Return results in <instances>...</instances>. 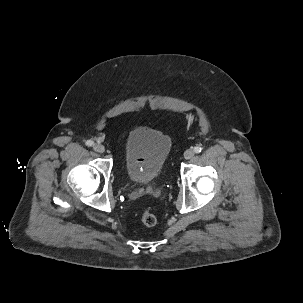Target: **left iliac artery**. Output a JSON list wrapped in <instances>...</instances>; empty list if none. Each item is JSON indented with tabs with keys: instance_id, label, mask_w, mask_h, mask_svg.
<instances>
[{
	"instance_id": "left-iliac-artery-1",
	"label": "left iliac artery",
	"mask_w": 303,
	"mask_h": 303,
	"mask_svg": "<svg viewBox=\"0 0 303 303\" xmlns=\"http://www.w3.org/2000/svg\"><path fill=\"white\" fill-rule=\"evenodd\" d=\"M201 151H202V148L199 147V146H196V147L194 148V152H195V153H200Z\"/></svg>"
}]
</instances>
